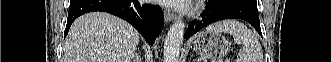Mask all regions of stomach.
Instances as JSON below:
<instances>
[{
	"label": "stomach",
	"instance_id": "0dacf381",
	"mask_svg": "<svg viewBox=\"0 0 331 62\" xmlns=\"http://www.w3.org/2000/svg\"><path fill=\"white\" fill-rule=\"evenodd\" d=\"M193 48L204 58L219 60L228 53L230 44L220 33L202 31L193 37Z\"/></svg>",
	"mask_w": 331,
	"mask_h": 62
}]
</instances>
